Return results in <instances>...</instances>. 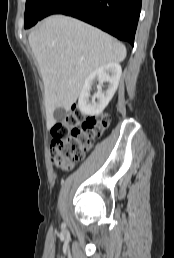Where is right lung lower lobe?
Segmentation results:
<instances>
[{"mask_svg":"<svg viewBox=\"0 0 174 258\" xmlns=\"http://www.w3.org/2000/svg\"><path fill=\"white\" fill-rule=\"evenodd\" d=\"M141 1L54 0L46 8L43 16L47 17L52 14L72 16L133 45Z\"/></svg>","mask_w":174,"mask_h":258,"instance_id":"right-lung-lower-lobe-1","label":"right lung lower lobe"}]
</instances>
